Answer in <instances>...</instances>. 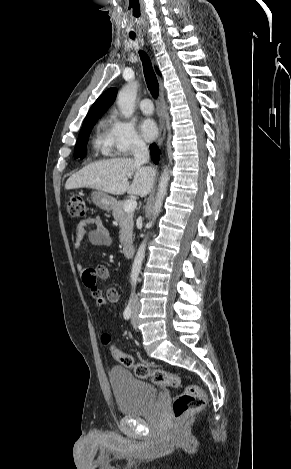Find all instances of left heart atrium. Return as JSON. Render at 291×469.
Masks as SVG:
<instances>
[{
  "label": "left heart atrium",
  "mask_w": 291,
  "mask_h": 469,
  "mask_svg": "<svg viewBox=\"0 0 291 469\" xmlns=\"http://www.w3.org/2000/svg\"><path fill=\"white\" fill-rule=\"evenodd\" d=\"M140 128L142 131V134L147 140H153L156 138L158 129L155 124V122L152 119H144L141 124Z\"/></svg>",
  "instance_id": "obj_1"
}]
</instances>
